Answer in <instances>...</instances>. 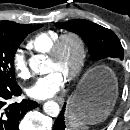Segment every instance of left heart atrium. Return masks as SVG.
<instances>
[{"instance_id": "39dd6f15", "label": "left heart atrium", "mask_w": 130, "mask_h": 130, "mask_svg": "<svg viewBox=\"0 0 130 130\" xmlns=\"http://www.w3.org/2000/svg\"><path fill=\"white\" fill-rule=\"evenodd\" d=\"M65 82V76L56 69L50 70L46 75L39 77L27 89V94L37 100L53 97L58 93Z\"/></svg>"}]
</instances>
